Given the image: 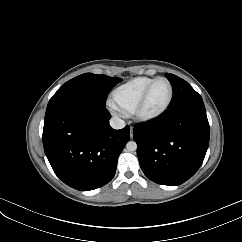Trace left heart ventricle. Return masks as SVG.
Returning a JSON list of instances; mask_svg holds the SVG:
<instances>
[{"mask_svg": "<svg viewBox=\"0 0 242 242\" xmlns=\"http://www.w3.org/2000/svg\"><path fill=\"white\" fill-rule=\"evenodd\" d=\"M170 93L169 85L166 81H157L149 92L143 112L151 114L160 110L168 100Z\"/></svg>", "mask_w": 242, "mask_h": 242, "instance_id": "1", "label": "left heart ventricle"}]
</instances>
